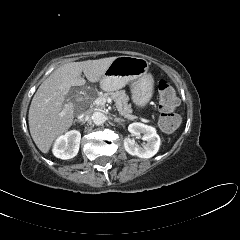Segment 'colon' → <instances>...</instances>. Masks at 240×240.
Returning <instances> with one entry per match:
<instances>
[{"label":"colon","mask_w":240,"mask_h":240,"mask_svg":"<svg viewBox=\"0 0 240 240\" xmlns=\"http://www.w3.org/2000/svg\"><path fill=\"white\" fill-rule=\"evenodd\" d=\"M158 93L161 112L159 126L163 131L171 132L180 124V117L175 111L178 97L174 88L166 80L159 81Z\"/></svg>","instance_id":"obj_1"}]
</instances>
